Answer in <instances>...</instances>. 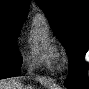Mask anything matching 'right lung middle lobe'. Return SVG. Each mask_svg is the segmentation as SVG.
I'll use <instances>...</instances> for the list:
<instances>
[{"mask_svg": "<svg viewBox=\"0 0 89 89\" xmlns=\"http://www.w3.org/2000/svg\"><path fill=\"white\" fill-rule=\"evenodd\" d=\"M22 22L0 18V79L20 74L22 59L16 46Z\"/></svg>", "mask_w": 89, "mask_h": 89, "instance_id": "right-lung-middle-lobe-1", "label": "right lung middle lobe"}]
</instances>
